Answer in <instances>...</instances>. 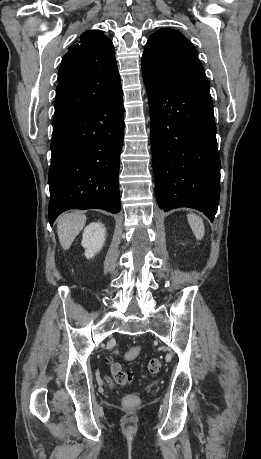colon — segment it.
<instances>
[{
	"label": "colon",
	"mask_w": 261,
	"mask_h": 459,
	"mask_svg": "<svg viewBox=\"0 0 261 459\" xmlns=\"http://www.w3.org/2000/svg\"><path fill=\"white\" fill-rule=\"evenodd\" d=\"M140 354V348L131 347L124 353V358L126 360H134ZM108 365L110 372L114 380L119 385H130L133 381V375L129 371L122 369L121 365L113 359L108 360ZM148 372L151 374H157L161 369V362L158 359H151L147 365ZM124 404L128 406L135 405L138 402L137 396L133 394L126 395L123 399Z\"/></svg>",
	"instance_id": "5ec220e1"
}]
</instances>
